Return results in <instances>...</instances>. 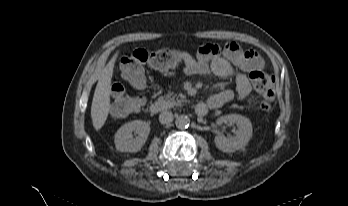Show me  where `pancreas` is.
<instances>
[{
	"label": "pancreas",
	"instance_id": "obj_1",
	"mask_svg": "<svg viewBox=\"0 0 348 206\" xmlns=\"http://www.w3.org/2000/svg\"><path fill=\"white\" fill-rule=\"evenodd\" d=\"M162 99H165L170 107L181 106L182 103L186 102V97L183 94L174 95L173 93H169L162 97Z\"/></svg>",
	"mask_w": 348,
	"mask_h": 206
}]
</instances>
